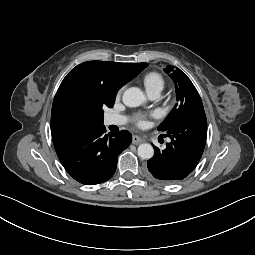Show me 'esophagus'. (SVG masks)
Listing matches in <instances>:
<instances>
[{
  "label": "esophagus",
  "mask_w": 255,
  "mask_h": 255,
  "mask_svg": "<svg viewBox=\"0 0 255 255\" xmlns=\"http://www.w3.org/2000/svg\"><path fill=\"white\" fill-rule=\"evenodd\" d=\"M141 142H143V140H142L139 136L134 135V136L132 137V143H133V144H139V143H141Z\"/></svg>",
  "instance_id": "1"
}]
</instances>
